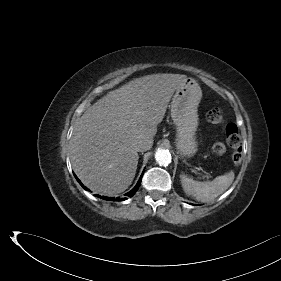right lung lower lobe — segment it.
I'll return each mask as SVG.
<instances>
[{
    "mask_svg": "<svg viewBox=\"0 0 281 281\" xmlns=\"http://www.w3.org/2000/svg\"><path fill=\"white\" fill-rule=\"evenodd\" d=\"M142 175H143V174H142ZM142 175H141V177H140L138 183L136 184V186H135L131 191H129L128 193L125 194L127 197H132V196L137 192V190H138V188H139V186H140V184H141ZM74 176H75L76 180L80 183V185H81L85 190H89L88 188H86V187L82 184V182L77 178V176H76L75 174H74ZM95 196H96V197H99V198H101V199H104V200H109V201H123V200L127 199V198L120 199L119 197H118V198H114V197H105V196H100V195H97V194H96Z\"/></svg>",
    "mask_w": 281,
    "mask_h": 281,
    "instance_id": "obj_1",
    "label": "right lung lower lobe"
}]
</instances>
